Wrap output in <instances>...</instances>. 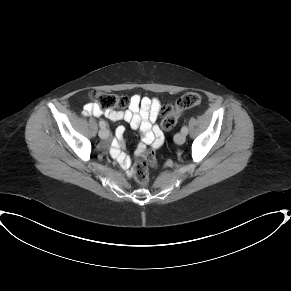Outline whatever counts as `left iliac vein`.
I'll use <instances>...</instances> for the list:
<instances>
[{
    "mask_svg": "<svg viewBox=\"0 0 291 291\" xmlns=\"http://www.w3.org/2000/svg\"><path fill=\"white\" fill-rule=\"evenodd\" d=\"M185 139H186V136L184 133H178L175 135L174 137V141L177 143V144H183L185 142Z\"/></svg>",
    "mask_w": 291,
    "mask_h": 291,
    "instance_id": "left-iliac-vein-1",
    "label": "left iliac vein"
}]
</instances>
